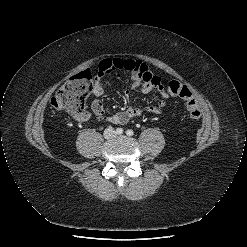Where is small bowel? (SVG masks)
<instances>
[{"label": "small bowel", "mask_w": 247, "mask_h": 247, "mask_svg": "<svg viewBox=\"0 0 247 247\" xmlns=\"http://www.w3.org/2000/svg\"><path fill=\"white\" fill-rule=\"evenodd\" d=\"M122 71L130 72L131 88L133 90H140L144 94H149L153 90H156L161 99L155 106H128L121 111L105 117L103 105L98 99L105 94L101 78L108 74L120 75ZM93 94L97 99L92 102L91 112L83 111L82 113L75 115L74 117L76 120L87 122L92 119L97 121L105 119L109 123L125 124L130 119L140 116L145 112L161 114L169 97L166 87L163 85L162 80L158 75L154 74L142 61L129 58H107L102 60L99 64L98 74L93 84ZM125 94L126 96L129 95L128 89H125Z\"/></svg>", "instance_id": "c3829d8e"}]
</instances>
